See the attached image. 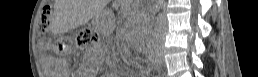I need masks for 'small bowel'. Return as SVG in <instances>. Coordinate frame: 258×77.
Returning a JSON list of instances; mask_svg holds the SVG:
<instances>
[{"label": "small bowel", "mask_w": 258, "mask_h": 77, "mask_svg": "<svg viewBox=\"0 0 258 77\" xmlns=\"http://www.w3.org/2000/svg\"><path fill=\"white\" fill-rule=\"evenodd\" d=\"M40 47L42 50L46 51L49 49V42L47 40H41L40 41ZM45 59L49 62H51L53 64V66L55 67V69L57 70H62L65 69L66 64H65V60L62 58H51L49 56H46ZM57 72H61V71H57Z\"/></svg>", "instance_id": "obj_1"}]
</instances>
